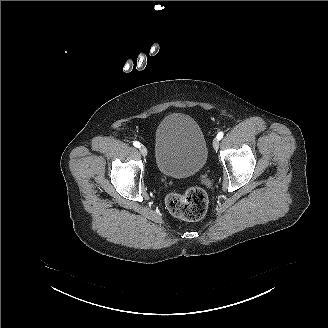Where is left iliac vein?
I'll use <instances>...</instances> for the list:
<instances>
[{"label": "left iliac vein", "instance_id": "left-iliac-vein-1", "mask_svg": "<svg viewBox=\"0 0 328 328\" xmlns=\"http://www.w3.org/2000/svg\"><path fill=\"white\" fill-rule=\"evenodd\" d=\"M212 147L217 150L219 148V140L215 138L212 143Z\"/></svg>", "mask_w": 328, "mask_h": 328}]
</instances>
